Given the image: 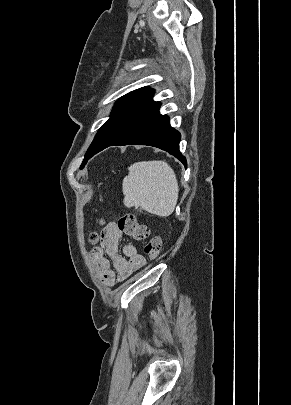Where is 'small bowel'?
<instances>
[{
    "label": "small bowel",
    "instance_id": "small-bowel-1",
    "mask_svg": "<svg viewBox=\"0 0 291 405\" xmlns=\"http://www.w3.org/2000/svg\"><path fill=\"white\" fill-rule=\"evenodd\" d=\"M122 231L114 223H108L101 231L100 243L90 254L101 282L113 287L141 269L145 258L133 244H126L120 253Z\"/></svg>",
    "mask_w": 291,
    "mask_h": 405
}]
</instances>
